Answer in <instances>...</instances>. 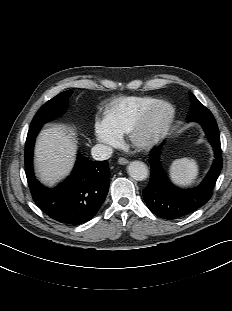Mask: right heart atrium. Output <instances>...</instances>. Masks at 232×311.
I'll return each mask as SVG.
<instances>
[{"instance_id": "1", "label": "right heart atrium", "mask_w": 232, "mask_h": 311, "mask_svg": "<svg viewBox=\"0 0 232 311\" xmlns=\"http://www.w3.org/2000/svg\"><path fill=\"white\" fill-rule=\"evenodd\" d=\"M93 134L100 143L109 147H115L120 143V136L110 129L105 120L98 119L95 121Z\"/></svg>"}]
</instances>
